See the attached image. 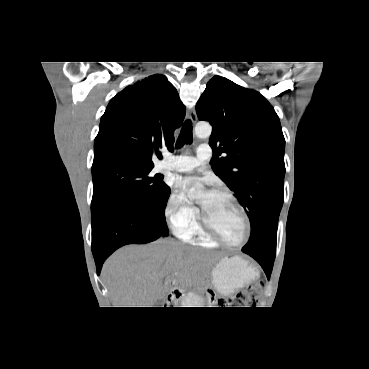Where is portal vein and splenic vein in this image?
Returning a JSON list of instances; mask_svg holds the SVG:
<instances>
[{"instance_id":"18ae733b","label":"portal vein and splenic vein","mask_w":369,"mask_h":369,"mask_svg":"<svg viewBox=\"0 0 369 369\" xmlns=\"http://www.w3.org/2000/svg\"><path fill=\"white\" fill-rule=\"evenodd\" d=\"M169 283H171V281H170V280H167V281L165 282V284H166V285H168Z\"/></svg>"}]
</instances>
